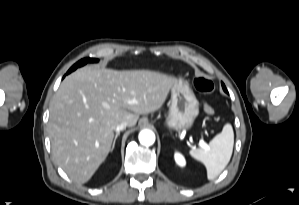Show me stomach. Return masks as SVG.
Wrapping results in <instances>:
<instances>
[{
	"label": "stomach",
	"mask_w": 299,
	"mask_h": 205,
	"mask_svg": "<svg viewBox=\"0 0 299 205\" xmlns=\"http://www.w3.org/2000/svg\"><path fill=\"white\" fill-rule=\"evenodd\" d=\"M199 113L196 96L188 84L179 80L171 89L166 126L173 130L190 129Z\"/></svg>",
	"instance_id": "1"
}]
</instances>
